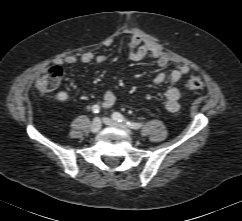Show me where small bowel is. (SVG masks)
<instances>
[{"mask_svg": "<svg viewBox=\"0 0 242 221\" xmlns=\"http://www.w3.org/2000/svg\"><path fill=\"white\" fill-rule=\"evenodd\" d=\"M146 57L153 59L157 66L165 69L169 65L168 57L155 48L149 39L141 32H136L132 35L129 42V58L132 61H141ZM80 60L84 64H102L105 61V57L102 55H95L92 52L83 53L80 58L74 55H69L64 58H58L55 60L57 65H73ZM189 67L184 64H178L171 71H161L153 79V83L156 85L162 84L165 81H169L170 87L165 92V107L170 113H176L180 109V91L175 86L180 79L188 74ZM116 102L115 93L108 89L103 94L102 107L105 109L111 108Z\"/></svg>", "mask_w": 242, "mask_h": 221, "instance_id": "c3829d8e", "label": "small bowel"}]
</instances>
